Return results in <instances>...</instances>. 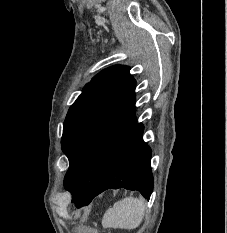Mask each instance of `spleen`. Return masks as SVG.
<instances>
[{
  "mask_svg": "<svg viewBox=\"0 0 227 233\" xmlns=\"http://www.w3.org/2000/svg\"><path fill=\"white\" fill-rule=\"evenodd\" d=\"M145 214L143 198L126 197L114 203L103 216L102 225L105 228H120L132 230L137 228Z\"/></svg>",
  "mask_w": 227,
  "mask_h": 233,
  "instance_id": "3e777b00",
  "label": "spleen"
}]
</instances>
